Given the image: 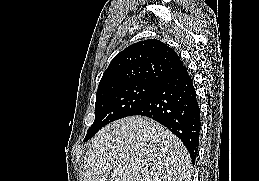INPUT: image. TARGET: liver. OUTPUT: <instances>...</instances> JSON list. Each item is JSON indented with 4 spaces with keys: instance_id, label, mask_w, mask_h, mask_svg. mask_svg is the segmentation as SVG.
Returning <instances> with one entry per match:
<instances>
[{
    "instance_id": "6515ba94",
    "label": "liver",
    "mask_w": 259,
    "mask_h": 181,
    "mask_svg": "<svg viewBox=\"0 0 259 181\" xmlns=\"http://www.w3.org/2000/svg\"><path fill=\"white\" fill-rule=\"evenodd\" d=\"M84 181H192L184 144L156 121L132 116L114 121L91 140Z\"/></svg>"
}]
</instances>
